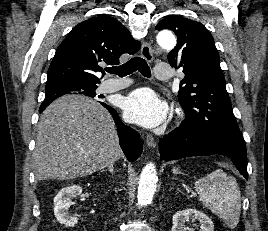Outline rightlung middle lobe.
Masks as SVG:
<instances>
[{
    "mask_svg": "<svg viewBox=\"0 0 268 231\" xmlns=\"http://www.w3.org/2000/svg\"><path fill=\"white\" fill-rule=\"evenodd\" d=\"M96 84L82 83L69 80H61L46 84L45 99H53L63 96L65 94H80L89 97H95Z\"/></svg>",
    "mask_w": 268,
    "mask_h": 231,
    "instance_id": "dd1d6c3e",
    "label": "right lung middle lobe"
}]
</instances>
